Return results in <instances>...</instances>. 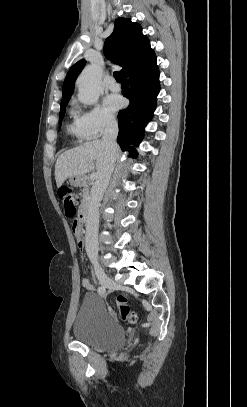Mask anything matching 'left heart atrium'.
Returning <instances> with one entry per match:
<instances>
[{"mask_svg":"<svg viewBox=\"0 0 247 407\" xmlns=\"http://www.w3.org/2000/svg\"><path fill=\"white\" fill-rule=\"evenodd\" d=\"M123 105V101L118 95H110L105 99V106L110 112L119 110Z\"/></svg>","mask_w":247,"mask_h":407,"instance_id":"39dd6f15","label":"left heart atrium"}]
</instances>
